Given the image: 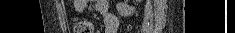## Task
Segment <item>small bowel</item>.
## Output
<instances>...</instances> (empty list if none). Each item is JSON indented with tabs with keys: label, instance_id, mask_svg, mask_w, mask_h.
Here are the masks:
<instances>
[{
	"label": "small bowel",
	"instance_id": "1",
	"mask_svg": "<svg viewBox=\"0 0 235 33\" xmlns=\"http://www.w3.org/2000/svg\"><path fill=\"white\" fill-rule=\"evenodd\" d=\"M85 4V0H79L76 2V8L82 10ZM95 8L105 22V33H116L118 21L115 16L109 13L107 1L97 0L95 2Z\"/></svg>",
	"mask_w": 235,
	"mask_h": 33
}]
</instances>
